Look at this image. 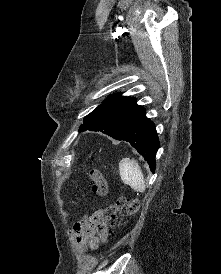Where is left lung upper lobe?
I'll return each instance as SVG.
<instances>
[{"label": "left lung upper lobe", "instance_id": "5c2ea615", "mask_svg": "<svg viewBox=\"0 0 221 274\" xmlns=\"http://www.w3.org/2000/svg\"><path fill=\"white\" fill-rule=\"evenodd\" d=\"M120 99H125V100H131L134 99L132 97H123L120 95H113L111 97H109L106 101H104L100 106L105 105L108 102H112V101H118ZM94 117H93V111L88 114L84 120H83V124L80 126L79 131H83L85 128L89 127L92 123H93Z\"/></svg>", "mask_w": 221, "mask_h": 274}]
</instances>
